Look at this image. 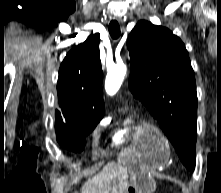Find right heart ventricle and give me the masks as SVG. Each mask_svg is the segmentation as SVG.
<instances>
[{
  "mask_svg": "<svg viewBox=\"0 0 221 193\" xmlns=\"http://www.w3.org/2000/svg\"><path fill=\"white\" fill-rule=\"evenodd\" d=\"M137 130V125L133 118H127L123 126L115 133L113 138V144L115 146H122L128 143L133 136L135 135Z\"/></svg>",
  "mask_w": 221,
  "mask_h": 193,
  "instance_id": "1",
  "label": "right heart ventricle"
}]
</instances>
